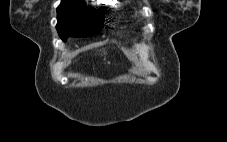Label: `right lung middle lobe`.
I'll list each match as a JSON object with an SVG mask.
<instances>
[{
	"mask_svg": "<svg viewBox=\"0 0 227 142\" xmlns=\"http://www.w3.org/2000/svg\"><path fill=\"white\" fill-rule=\"evenodd\" d=\"M57 31L60 38L87 37L97 34L104 23L103 8L94 11L82 1H62L57 8Z\"/></svg>",
	"mask_w": 227,
	"mask_h": 142,
	"instance_id": "1",
	"label": "right lung middle lobe"
}]
</instances>
